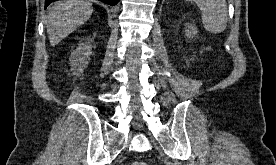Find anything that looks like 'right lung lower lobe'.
<instances>
[{
	"label": "right lung lower lobe",
	"mask_w": 276,
	"mask_h": 165,
	"mask_svg": "<svg viewBox=\"0 0 276 165\" xmlns=\"http://www.w3.org/2000/svg\"><path fill=\"white\" fill-rule=\"evenodd\" d=\"M54 1H57V0H45V8L51 3V2H54ZM104 3H107L109 5H116L119 0H100Z\"/></svg>",
	"instance_id": "1"
}]
</instances>
